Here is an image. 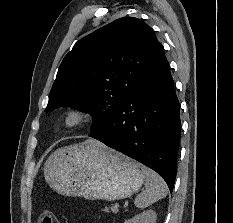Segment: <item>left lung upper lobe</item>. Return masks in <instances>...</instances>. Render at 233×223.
<instances>
[{"label":"left lung upper lobe","mask_w":233,"mask_h":223,"mask_svg":"<svg viewBox=\"0 0 233 223\" xmlns=\"http://www.w3.org/2000/svg\"><path fill=\"white\" fill-rule=\"evenodd\" d=\"M160 45L150 26L134 17L87 35L63 59L45 111L70 106L88 112L94 135L128 100Z\"/></svg>","instance_id":"1"}]
</instances>
